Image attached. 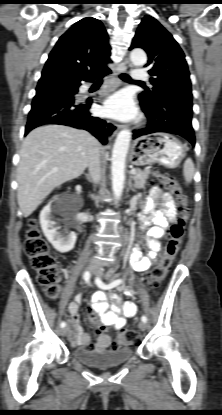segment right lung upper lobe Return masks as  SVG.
I'll return each instance as SVG.
<instances>
[{
	"mask_svg": "<svg viewBox=\"0 0 222 415\" xmlns=\"http://www.w3.org/2000/svg\"><path fill=\"white\" fill-rule=\"evenodd\" d=\"M110 49L103 24L87 17L59 38L43 71L56 70L77 78L96 76L109 70Z\"/></svg>",
	"mask_w": 222,
	"mask_h": 415,
	"instance_id": "obj_1",
	"label": "right lung upper lobe"
}]
</instances>
